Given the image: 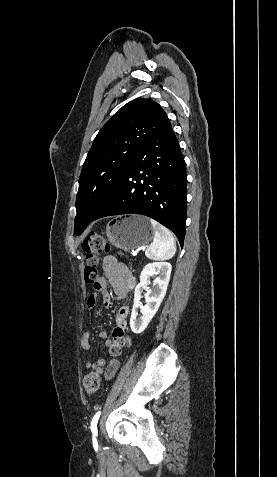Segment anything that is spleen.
<instances>
[{"mask_svg": "<svg viewBox=\"0 0 277 477\" xmlns=\"http://www.w3.org/2000/svg\"><path fill=\"white\" fill-rule=\"evenodd\" d=\"M154 230L153 242L145 251L147 258L151 260H168L172 258L176 252V243L172 233L156 222L150 220Z\"/></svg>", "mask_w": 277, "mask_h": 477, "instance_id": "3e777b00", "label": "spleen"}]
</instances>
